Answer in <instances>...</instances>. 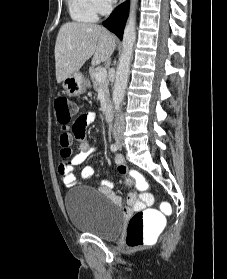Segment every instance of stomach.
<instances>
[{"mask_svg": "<svg viewBox=\"0 0 227 279\" xmlns=\"http://www.w3.org/2000/svg\"><path fill=\"white\" fill-rule=\"evenodd\" d=\"M64 92L70 96L75 97L84 93L86 85L83 76L79 72H75L62 81Z\"/></svg>", "mask_w": 227, "mask_h": 279, "instance_id": "1", "label": "stomach"}]
</instances>
